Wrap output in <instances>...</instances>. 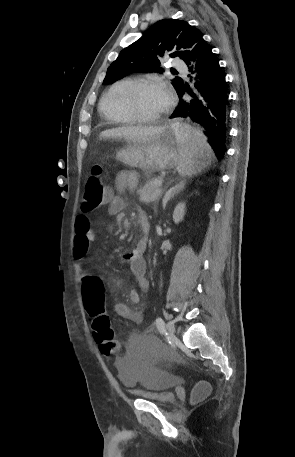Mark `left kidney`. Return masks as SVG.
I'll return each instance as SVG.
<instances>
[{
	"label": "left kidney",
	"mask_w": 295,
	"mask_h": 457,
	"mask_svg": "<svg viewBox=\"0 0 295 457\" xmlns=\"http://www.w3.org/2000/svg\"><path fill=\"white\" fill-rule=\"evenodd\" d=\"M185 210H186V205L185 203H179L174 212H173V220L176 224L181 222L184 218L185 215Z\"/></svg>",
	"instance_id": "1"
}]
</instances>
